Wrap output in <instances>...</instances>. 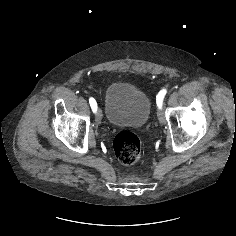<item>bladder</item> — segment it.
<instances>
[{"mask_svg": "<svg viewBox=\"0 0 236 236\" xmlns=\"http://www.w3.org/2000/svg\"><path fill=\"white\" fill-rule=\"evenodd\" d=\"M151 103L148 96L126 82L110 84L105 93L104 114L117 127L137 128L149 119Z\"/></svg>", "mask_w": 236, "mask_h": 236, "instance_id": "bladder-1", "label": "bladder"}]
</instances>
